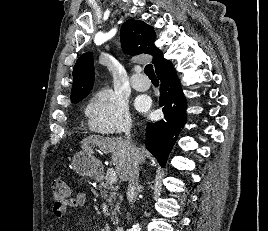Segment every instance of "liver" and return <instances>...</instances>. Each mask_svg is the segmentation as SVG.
I'll list each match as a JSON object with an SVG mask.
<instances>
[{"label":"liver","mask_w":268,"mask_h":231,"mask_svg":"<svg viewBox=\"0 0 268 231\" xmlns=\"http://www.w3.org/2000/svg\"><path fill=\"white\" fill-rule=\"evenodd\" d=\"M92 145L98 146L102 151L111 153V160L115 166L116 173L121 180H126L127 173L132 166L131 147L135 146L128 140L122 138H104L97 135H91L82 140V149L93 153ZM140 152L141 161L149 155L144 146L137 148Z\"/></svg>","instance_id":"1"}]
</instances>
